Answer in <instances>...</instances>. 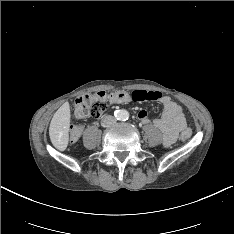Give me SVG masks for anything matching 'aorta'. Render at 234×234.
Here are the masks:
<instances>
[{
  "mask_svg": "<svg viewBox=\"0 0 234 234\" xmlns=\"http://www.w3.org/2000/svg\"><path fill=\"white\" fill-rule=\"evenodd\" d=\"M117 119L125 121L129 118V112L127 110H119L116 114Z\"/></svg>",
  "mask_w": 234,
  "mask_h": 234,
  "instance_id": "obj_1",
  "label": "aorta"
}]
</instances>
